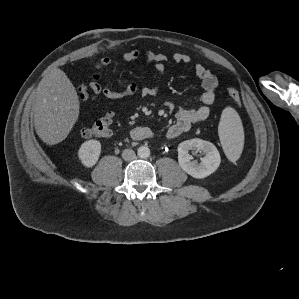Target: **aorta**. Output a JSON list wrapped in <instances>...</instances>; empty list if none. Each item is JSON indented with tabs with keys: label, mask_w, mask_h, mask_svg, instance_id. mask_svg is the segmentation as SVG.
<instances>
[{
	"label": "aorta",
	"mask_w": 299,
	"mask_h": 299,
	"mask_svg": "<svg viewBox=\"0 0 299 299\" xmlns=\"http://www.w3.org/2000/svg\"><path fill=\"white\" fill-rule=\"evenodd\" d=\"M137 153L140 158H147L150 156V149L147 146H141L138 148Z\"/></svg>",
	"instance_id": "762f6f07"
}]
</instances>
